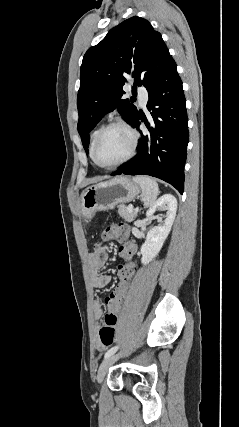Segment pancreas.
Segmentation results:
<instances>
[{"mask_svg":"<svg viewBox=\"0 0 239 427\" xmlns=\"http://www.w3.org/2000/svg\"><path fill=\"white\" fill-rule=\"evenodd\" d=\"M118 213L127 222L134 221L137 216V212L135 210L130 212L128 207L124 204L118 206Z\"/></svg>","mask_w":239,"mask_h":427,"instance_id":"pancreas-1","label":"pancreas"}]
</instances>
